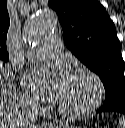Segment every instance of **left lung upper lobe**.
Here are the masks:
<instances>
[{
	"label": "left lung upper lobe",
	"mask_w": 125,
	"mask_h": 128,
	"mask_svg": "<svg viewBox=\"0 0 125 128\" xmlns=\"http://www.w3.org/2000/svg\"><path fill=\"white\" fill-rule=\"evenodd\" d=\"M71 52L103 82V106L125 101L124 61L120 41L106 9L95 0H50Z\"/></svg>",
	"instance_id": "5c2ea615"
}]
</instances>
